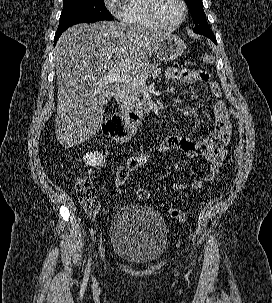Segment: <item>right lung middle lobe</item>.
Segmentation results:
<instances>
[{"label": "right lung middle lobe", "instance_id": "right-lung-middle-lobe-1", "mask_svg": "<svg viewBox=\"0 0 272 303\" xmlns=\"http://www.w3.org/2000/svg\"><path fill=\"white\" fill-rule=\"evenodd\" d=\"M100 20H113L106 9L104 0H63V10L56 33L78 23H92Z\"/></svg>", "mask_w": 272, "mask_h": 303}]
</instances>
